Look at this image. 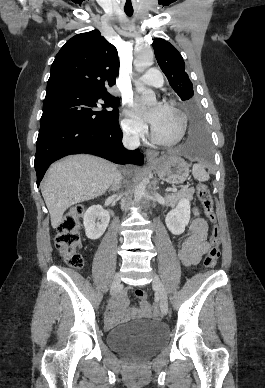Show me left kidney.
Masks as SVG:
<instances>
[{
    "label": "left kidney",
    "mask_w": 265,
    "mask_h": 388,
    "mask_svg": "<svg viewBox=\"0 0 265 388\" xmlns=\"http://www.w3.org/2000/svg\"><path fill=\"white\" fill-rule=\"evenodd\" d=\"M190 220V202L187 198L179 200L176 208L168 212L165 222L168 230L174 236H180L185 232L186 226H188Z\"/></svg>",
    "instance_id": "1"
}]
</instances>
